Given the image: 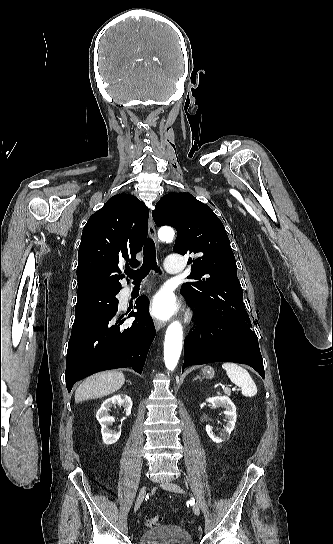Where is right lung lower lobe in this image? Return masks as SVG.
Here are the masks:
<instances>
[{
  "label": "right lung lower lobe",
  "instance_id": "98d812e1",
  "mask_svg": "<svg viewBox=\"0 0 333 544\" xmlns=\"http://www.w3.org/2000/svg\"><path fill=\"white\" fill-rule=\"evenodd\" d=\"M135 308L130 316L136 319L129 325L123 324L117 308L72 329L65 371L68 392L75 382L99 371L132 367L142 372L155 327L146 296L138 298Z\"/></svg>",
  "mask_w": 333,
  "mask_h": 544
}]
</instances>
